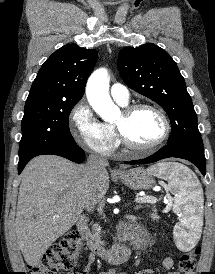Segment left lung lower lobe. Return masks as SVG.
I'll return each instance as SVG.
<instances>
[{
  "instance_id": "obj_1",
  "label": "left lung lower lobe",
  "mask_w": 215,
  "mask_h": 274,
  "mask_svg": "<svg viewBox=\"0 0 215 274\" xmlns=\"http://www.w3.org/2000/svg\"><path fill=\"white\" fill-rule=\"evenodd\" d=\"M176 157L188 160L195 164L203 175L206 174V159L204 155V148L186 146V145H169L167 144L153 155L140 159L125 162L126 164H142L153 163L164 158Z\"/></svg>"
}]
</instances>
